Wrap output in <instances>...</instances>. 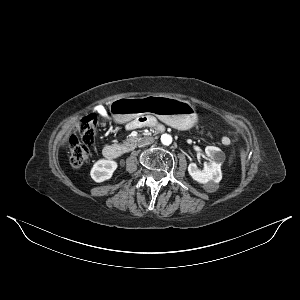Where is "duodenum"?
Listing matches in <instances>:
<instances>
[{
  "label": "duodenum",
  "instance_id": "obj_1",
  "mask_svg": "<svg viewBox=\"0 0 300 300\" xmlns=\"http://www.w3.org/2000/svg\"><path fill=\"white\" fill-rule=\"evenodd\" d=\"M102 153L107 159H117L124 153V148L118 144H109L104 146Z\"/></svg>",
  "mask_w": 300,
  "mask_h": 300
}]
</instances>
